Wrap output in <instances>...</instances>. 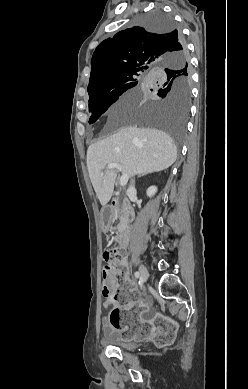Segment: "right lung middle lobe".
I'll return each instance as SVG.
<instances>
[{"label":"right lung middle lobe","instance_id":"1","mask_svg":"<svg viewBox=\"0 0 248 389\" xmlns=\"http://www.w3.org/2000/svg\"><path fill=\"white\" fill-rule=\"evenodd\" d=\"M142 25L152 31L175 29L173 18L161 10L151 11L141 18ZM154 91L160 101L153 105L132 104L119 112L130 120L159 127L167 131L177 146L183 142L185 122L191 101V72L186 59L170 58L155 68ZM142 72L131 71L117 77L111 84L89 95V123H94L119 97L138 84Z\"/></svg>","mask_w":248,"mask_h":389}]
</instances>
